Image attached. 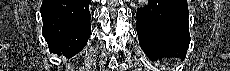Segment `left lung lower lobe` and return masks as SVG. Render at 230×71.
Here are the masks:
<instances>
[{
    "label": "left lung lower lobe",
    "mask_w": 230,
    "mask_h": 71,
    "mask_svg": "<svg viewBox=\"0 0 230 71\" xmlns=\"http://www.w3.org/2000/svg\"><path fill=\"white\" fill-rule=\"evenodd\" d=\"M187 0H149L137 9L139 45L151 60L185 58L190 43Z\"/></svg>",
    "instance_id": "1"
}]
</instances>
